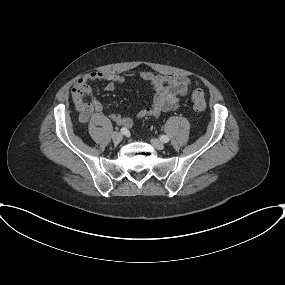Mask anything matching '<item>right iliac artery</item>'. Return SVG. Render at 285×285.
I'll return each instance as SVG.
<instances>
[{
    "label": "right iliac artery",
    "mask_w": 285,
    "mask_h": 285,
    "mask_svg": "<svg viewBox=\"0 0 285 285\" xmlns=\"http://www.w3.org/2000/svg\"><path fill=\"white\" fill-rule=\"evenodd\" d=\"M121 133L122 134H127L128 133V130H127V128H121Z\"/></svg>",
    "instance_id": "right-iliac-artery-1"
}]
</instances>
